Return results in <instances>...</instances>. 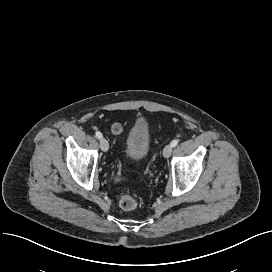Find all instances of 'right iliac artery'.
Masks as SVG:
<instances>
[{
  "instance_id": "1",
  "label": "right iliac artery",
  "mask_w": 272,
  "mask_h": 272,
  "mask_svg": "<svg viewBox=\"0 0 272 272\" xmlns=\"http://www.w3.org/2000/svg\"><path fill=\"white\" fill-rule=\"evenodd\" d=\"M95 135H96V137H97L98 139H101V138H102V133L99 132V131H97V132L95 133Z\"/></svg>"
}]
</instances>
